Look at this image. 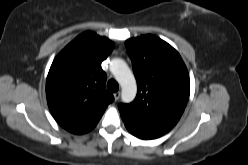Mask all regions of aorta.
Wrapping results in <instances>:
<instances>
[{
    "mask_svg": "<svg viewBox=\"0 0 248 165\" xmlns=\"http://www.w3.org/2000/svg\"><path fill=\"white\" fill-rule=\"evenodd\" d=\"M110 71L121 85L122 101L125 103L132 102L137 93V85L135 77L126 62L119 58L113 59L110 62Z\"/></svg>",
    "mask_w": 248,
    "mask_h": 165,
    "instance_id": "1",
    "label": "aorta"
}]
</instances>
